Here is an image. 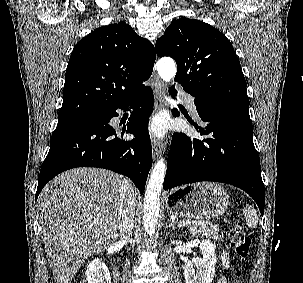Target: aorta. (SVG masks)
<instances>
[{
	"mask_svg": "<svg viewBox=\"0 0 303 283\" xmlns=\"http://www.w3.org/2000/svg\"><path fill=\"white\" fill-rule=\"evenodd\" d=\"M175 62L170 57L161 58L157 63V71L161 79L169 82L176 74ZM166 172V163L159 160L150 175L143 204V226L145 234L150 238L155 234V228L160 212V194Z\"/></svg>",
	"mask_w": 303,
	"mask_h": 283,
	"instance_id": "aorta-1",
	"label": "aorta"
}]
</instances>
